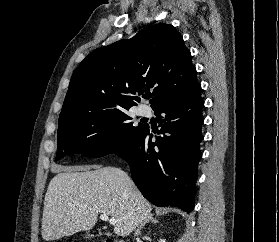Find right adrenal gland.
I'll return each mask as SVG.
<instances>
[{"mask_svg":"<svg viewBox=\"0 0 279 242\" xmlns=\"http://www.w3.org/2000/svg\"><path fill=\"white\" fill-rule=\"evenodd\" d=\"M154 215L151 213L146 219L145 221L138 227V229L135 232V235H140L141 233V229L146 225V223L148 222H152V223H157L158 220L156 218L153 217Z\"/></svg>","mask_w":279,"mask_h":242,"instance_id":"obj_1","label":"right adrenal gland"}]
</instances>
